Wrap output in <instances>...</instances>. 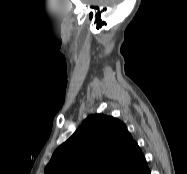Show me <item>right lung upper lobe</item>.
<instances>
[{
    "instance_id": "cb5924a9",
    "label": "right lung upper lobe",
    "mask_w": 187,
    "mask_h": 174,
    "mask_svg": "<svg viewBox=\"0 0 187 174\" xmlns=\"http://www.w3.org/2000/svg\"><path fill=\"white\" fill-rule=\"evenodd\" d=\"M146 160L120 120L95 114L53 153L45 174H142Z\"/></svg>"
}]
</instances>
